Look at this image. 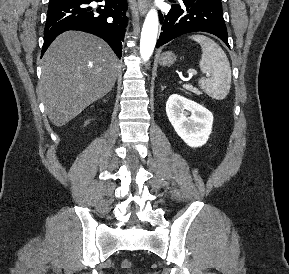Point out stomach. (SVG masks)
Returning <instances> with one entry per match:
<instances>
[{
  "instance_id": "obj_1",
  "label": "stomach",
  "mask_w": 289,
  "mask_h": 274,
  "mask_svg": "<svg viewBox=\"0 0 289 274\" xmlns=\"http://www.w3.org/2000/svg\"><path fill=\"white\" fill-rule=\"evenodd\" d=\"M176 61V56L172 52H165L161 55L159 63L162 66H171Z\"/></svg>"
}]
</instances>
